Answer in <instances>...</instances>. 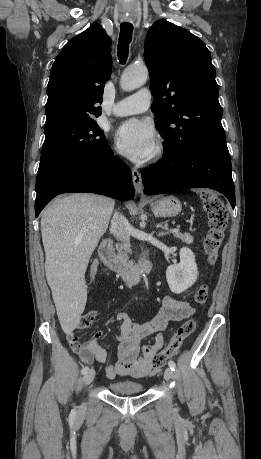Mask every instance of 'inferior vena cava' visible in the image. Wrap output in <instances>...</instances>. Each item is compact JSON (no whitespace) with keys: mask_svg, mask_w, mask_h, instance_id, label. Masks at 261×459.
I'll use <instances>...</instances> for the list:
<instances>
[{"mask_svg":"<svg viewBox=\"0 0 261 459\" xmlns=\"http://www.w3.org/2000/svg\"><path fill=\"white\" fill-rule=\"evenodd\" d=\"M129 222L127 219L118 212H115L113 219L111 221V232L119 239L124 242L126 246L130 244V234H129Z\"/></svg>","mask_w":261,"mask_h":459,"instance_id":"obj_1","label":"inferior vena cava"}]
</instances>
